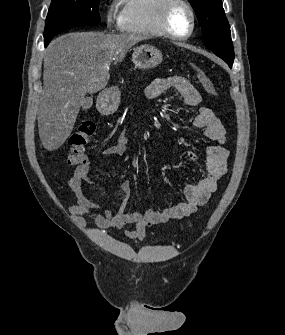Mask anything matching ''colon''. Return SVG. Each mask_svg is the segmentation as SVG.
Instances as JSON below:
<instances>
[{"mask_svg":"<svg viewBox=\"0 0 285 335\" xmlns=\"http://www.w3.org/2000/svg\"><path fill=\"white\" fill-rule=\"evenodd\" d=\"M196 77L205 89V91L217 96V90L209 77L198 67L193 66ZM96 130V125L92 121L83 122L73 132L69 139L70 150L68 153V163L80 166L87 163L86 145L91 140Z\"/></svg>","mask_w":285,"mask_h":335,"instance_id":"obj_1","label":"colon"}]
</instances>
